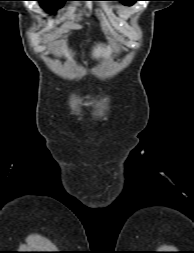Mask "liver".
I'll return each instance as SVG.
<instances>
[{
    "mask_svg": "<svg viewBox=\"0 0 194 253\" xmlns=\"http://www.w3.org/2000/svg\"><path fill=\"white\" fill-rule=\"evenodd\" d=\"M62 53L68 58L71 59V53L70 51H68V49L66 47L62 48ZM112 53V49L110 46H103V45H97L94 49H93V56L95 58H99V57H108L110 56Z\"/></svg>",
    "mask_w": 194,
    "mask_h": 253,
    "instance_id": "1",
    "label": "liver"
}]
</instances>
